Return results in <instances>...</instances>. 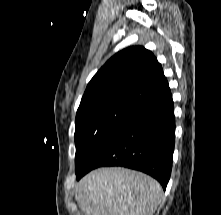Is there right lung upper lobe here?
<instances>
[{"instance_id": "obj_1", "label": "right lung upper lobe", "mask_w": 221, "mask_h": 215, "mask_svg": "<svg viewBox=\"0 0 221 215\" xmlns=\"http://www.w3.org/2000/svg\"><path fill=\"white\" fill-rule=\"evenodd\" d=\"M169 88L163 69L151 51L126 48L111 57L88 83L80 106L120 101L133 106Z\"/></svg>"}]
</instances>
